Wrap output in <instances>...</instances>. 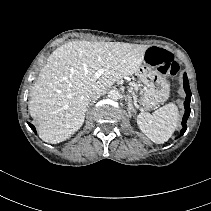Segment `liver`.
I'll use <instances>...</instances> for the list:
<instances>
[{"instance_id":"1","label":"liver","mask_w":211,"mask_h":211,"mask_svg":"<svg viewBox=\"0 0 211 211\" xmlns=\"http://www.w3.org/2000/svg\"><path fill=\"white\" fill-rule=\"evenodd\" d=\"M148 45L70 41L51 53L30 92L29 113L39 137L65 141L84 123L92 94L137 72ZM104 73L95 77L99 69Z\"/></svg>"}]
</instances>
